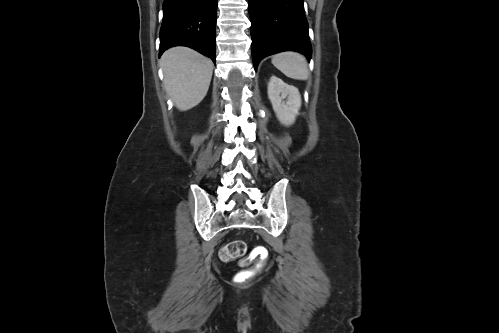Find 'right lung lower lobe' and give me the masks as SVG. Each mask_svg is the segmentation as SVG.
I'll use <instances>...</instances> for the list:
<instances>
[{
    "label": "right lung lower lobe",
    "instance_id": "right-lung-lower-lobe-1",
    "mask_svg": "<svg viewBox=\"0 0 499 333\" xmlns=\"http://www.w3.org/2000/svg\"><path fill=\"white\" fill-rule=\"evenodd\" d=\"M217 0H164L160 51L187 46L215 63Z\"/></svg>",
    "mask_w": 499,
    "mask_h": 333
}]
</instances>
